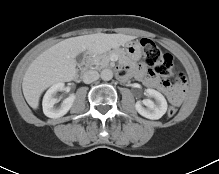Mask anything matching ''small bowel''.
<instances>
[{
  "label": "small bowel",
  "mask_w": 219,
  "mask_h": 174,
  "mask_svg": "<svg viewBox=\"0 0 219 174\" xmlns=\"http://www.w3.org/2000/svg\"><path fill=\"white\" fill-rule=\"evenodd\" d=\"M134 73L147 86L163 91L172 107L179 108L182 106L186 94L185 87L181 85L172 86L167 82L161 81L155 75L149 73L144 67H140Z\"/></svg>",
  "instance_id": "obj_1"
}]
</instances>
